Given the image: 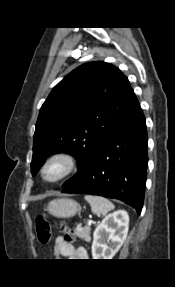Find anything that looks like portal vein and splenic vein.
<instances>
[{
  "instance_id": "obj_1",
  "label": "portal vein and splenic vein",
  "mask_w": 175,
  "mask_h": 287,
  "mask_svg": "<svg viewBox=\"0 0 175 287\" xmlns=\"http://www.w3.org/2000/svg\"><path fill=\"white\" fill-rule=\"evenodd\" d=\"M88 224H91V221H90V220L88 221Z\"/></svg>"
}]
</instances>
